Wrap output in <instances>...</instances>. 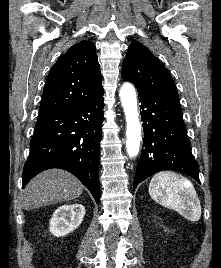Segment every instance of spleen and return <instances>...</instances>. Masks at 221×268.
<instances>
[{"label": "spleen", "instance_id": "obj_1", "mask_svg": "<svg viewBox=\"0 0 221 268\" xmlns=\"http://www.w3.org/2000/svg\"><path fill=\"white\" fill-rule=\"evenodd\" d=\"M149 195L160 205L190 221H198L201 217L200 201L192 183L175 172L161 171L155 174L149 184Z\"/></svg>", "mask_w": 221, "mask_h": 268}]
</instances>
